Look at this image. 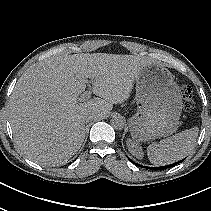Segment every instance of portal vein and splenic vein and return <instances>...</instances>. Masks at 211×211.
I'll list each match as a JSON object with an SVG mask.
<instances>
[{"label": "portal vein and splenic vein", "instance_id": "obj_1", "mask_svg": "<svg viewBox=\"0 0 211 211\" xmlns=\"http://www.w3.org/2000/svg\"><path fill=\"white\" fill-rule=\"evenodd\" d=\"M91 94H92V87L89 85V90H87L80 96L79 101H85L89 99L91 97Z\"/></svg>", "mask_w": 211, "mask_h": 211}]
</instances>
